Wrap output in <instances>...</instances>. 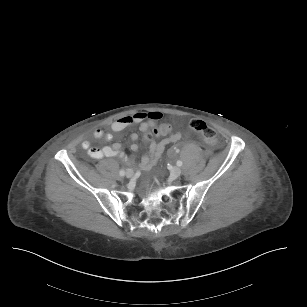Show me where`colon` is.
<instances>
[{
  "mask_svg": "<svg viewBox=\"0 0 307 307\" xmlns=\"http://www.w3.org/2000/svg\"><path fill=\"white\" fill-rule=\"evenodd\" d=\"M189 127L191 130L200 133L201 135H203L205 142L209 145H216L218 142V135L216 133L215 130H213L211 127H209L203 120L195 118L189 121ZM171 126L170 125H160V126H156L153 128L152 132L153 133H146L145 134V139L146 140H153L154 139V135H159V134H167L171 131Z\"/></svg>",
  "mask_w": 307,
  "mask_h": 307,
  "instance_id": "colon-1",
  "label": "colon"
}]
</instances>
